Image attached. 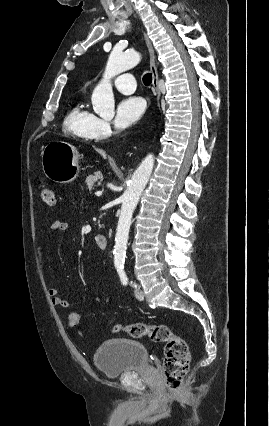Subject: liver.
Masks as SVG:
<instances>
[{
    "mask_svg": "<svg viewBox=\"0 0 269 426\" xmlns=\"http://www.w3.org/2000/svg\"><path fill=\"white\" fill-rule=\"evenodd\" d=\"M104 159L106 158V153L102 149H95Z\"/></svg>",
    "mask_w": 269,
    "mask_h": 426,
    "instance_id": "liver-1",
    "label": "liver"
}]
</instances>
